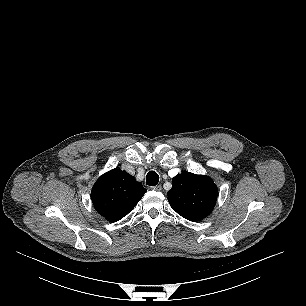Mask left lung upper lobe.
I'll return each mask as SVG.
<instances>
[{
  "instance_id": "1",
  "label": "left lung upper lobe",
  "mask_w": 306,
  "mask_h": 306,
  "mask_svg": "<svg viewBox=\"0 0 306 306\" xmlns=\"http://www.w3.org/2000/svg\"><path fill=\"white\" fill-rule=\"evenodd\" d=\"M168 201L178 214L190 221L208 216L216 203L218 188L208 177L182 172L172 179Z\"/></svg>"
}]
</instances>
